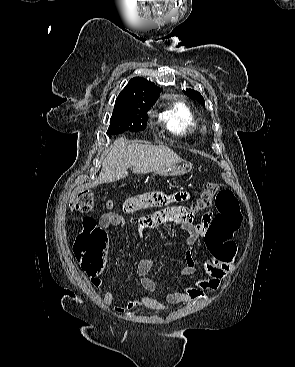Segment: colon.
Returning a JSON list of instances; mask_svg holds the SVG:
<instances>
[{"label":"colon","instance_id":"colon-1","mask_svg":"<svg viewBox=\"0 0 295 367\" xmlns=\"http://www.w3.org/2000/svg\"><path fill=\"white\" fill-rule=\"evenodd\" d=\"M212 202L215 203L217 214L211 221L205 243L220 258L231 261L237 250L232 238L242 220L238 201L231 190L224 188L219 183L212 182L202 192L195 210L204 209ZM94 203V194L85 191L77 197L73 203V209L78 213H87L93 209ZM164 203H166L164 198L158 199V205ZM159 217H166V215H159ZM106 251L105 231L96 224L94 219L84 218L82 230L73 241V252L82 269L92 277L97 276L104 267Z\"/></svg>","mask_w":295,"mask_h":367}]
</instances>
